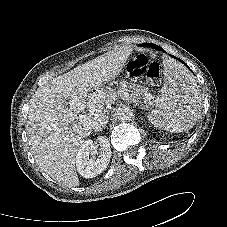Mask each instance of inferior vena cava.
Wrapping results in <instances>:
<instances>
[{
	"label": "inferior vena cava",
	"instance_id": "obj_1",
	"mask_svg": "<svg viewBox=\"0 0 227 227\" xmlns=\"http://www.w3.org/2000/svg\"><path fill=\"white\" fill-rule=\"evenodd\" d=\"M108 119H109L108 115H106V113L104 112L97 114L91 120L90 124L92 129H94L95 131L101 130L108 123Z\"/></svg>",
	"mask_w": 227,
	"mask_h": 227
}]
</instances>
